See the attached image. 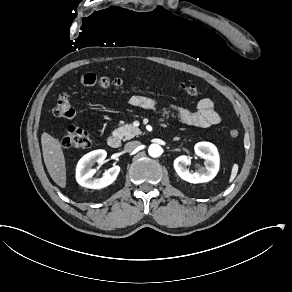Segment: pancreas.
Returning a JSON list of instances; mask_svg holds the SVG:
<instances>
[{
  "mask_svg": "<svg viewBox=\"0 0 292 292\" xmlns=\"http://www.w3.org/2000/svg\"><path fill=\"white\" fill-rule=\"evenodd\" d=\"M141 135V131L138 129V127L134 126L133 124H125L124 126L118 128L116 130V137L120 139H131L135 136Z\"/></svg>",
  "mask_w": 292,
  "mask_h": 292,
  "instance_id": "obj_1",
  "label": "pancreas"
}]
</instances>
